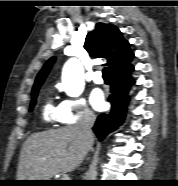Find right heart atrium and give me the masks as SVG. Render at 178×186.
Here are the masks:
<instances>
[{"label":"right heart atrium","instance_id":"d8ad5b80","mask_svg":"<svg viewBox=\"0 0 178 186\" xmlns=\"http://www.w3.org/2000/svg\"><path fill=\"white\" fill-rule=\"evenodd\" d=\"M60 118L62 123L76 124L80 122H92L95 115L81 97L66 98L60 106Z\"/></svg>","mask_w":178,"mask_h":186}]
</instances>
